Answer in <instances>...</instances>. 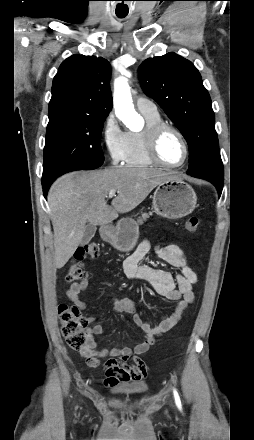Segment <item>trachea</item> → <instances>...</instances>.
Returning a JSON list of instances; mask_svg holds the SVG:
<instances>
[{"label":"trachea","instance_id":"1","mask_svg":"<svg viewBox=\"0 0 254 440\" xmlns=\"http://www.w3.org/2000/svg\"><path fill=\"white\" fill-rule=\"evenodd\" d=\"M119 17H120V18H123V17H125V16H121V15H120Z\"/></svg>","mask_w":254,"mask_h":440}]
</instances>
